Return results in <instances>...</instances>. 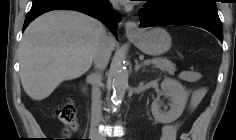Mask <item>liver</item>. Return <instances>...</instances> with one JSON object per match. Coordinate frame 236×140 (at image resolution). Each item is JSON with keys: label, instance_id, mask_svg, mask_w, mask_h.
<instances>
[{"label": "liver", "instance_id": "1", "mask_svg": "<svg viewBox=\"0 0 236 140\" xmlns=\"http://www.w3.org/2000/svg\"><path fill=\"white\" fill-rule=\"evenodd\" d=\"M104 36L102 23L77 11H51L35 19L19 46L24 91L33 100L41 101L63 81L83 75L91 67Z\"/></svg>", "mask_w": 236, "mask_h": 140}]
</instances>
